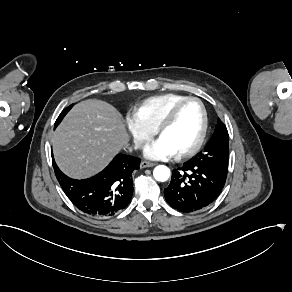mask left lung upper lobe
<instances>
[{"instance_id": "5c2ea615", "label": "left lung upper lobe", "mask_w": 292, "mask_h": 292, "mask_svg": "<svg viewBox=\"0 0 292 292\" xmlns=\"http://www.w3.org/2000/svg\"><path fill=\"white\" fill-rule=\"evenodd\" d=\"M193 158L201 159L207 163H223L228 165L229 158V136L224 123L218 119L214 133L209 142Z\"/></svg>"}]
</instances>
